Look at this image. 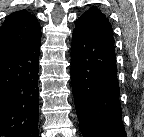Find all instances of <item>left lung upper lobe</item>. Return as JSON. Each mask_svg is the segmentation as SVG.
Returning <instances> with one entry per match:
<instances>
[{
  "mask_svg": "<svg viewBox=\"0 0 144 137\" xmlns=\"http://www.w3.org/2000/svg\"><path fill=\"white\" fill-rule=\"evenodd\" d=\"M77 22L97 33L107 34L113 37L112 26L108 18L104 13L95 7L87 10L81 17L77 19Z\"/></svg>",
  "mask_w": 144,
  "mask_h": 137,
  "instance_id": "left-lung-upper-lobe-1",
  "label": "left lung upper lobe"
}]
</instances>
